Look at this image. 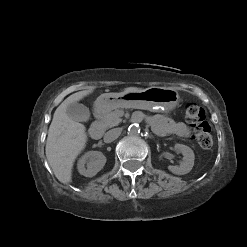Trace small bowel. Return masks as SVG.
I'll return each mask as SVG.
<instances>
[{
	"mask_svg": "<svg viewBox=\"0 0 247 247\" xmlns=\"http://www.w3.org/2000/svg\"><path fill=\"white\" fill-rule=\"evenodd\" d=\"M150 121L154 131L160 136L176 134L178 136L186 137L190 134V129L187 125L182 122H176L167 115H155Z\"/></svg>",
	"mask_w": 247,
	"mask_h": 247,
	"instance_id": "1",
	"label": "small bowel"
}]
</instances>
